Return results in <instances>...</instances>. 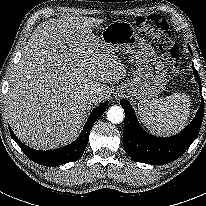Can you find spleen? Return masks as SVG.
I'll list each match as a JSON object with an SVG mask.
<instances>
[{
    "mask_svg": "<svg viewBox=\"0 0 206 206\" xmlns=\"http://www.w3.org/2000/svg\"><path fill=\"white\" fill-rule=\"evenodd\" d=\"M190 98L184 93H174L163 98L143 102L139 116L143 125L157 135H171L187 124Z\"/></svg>",
    "mask_w": 206,
    "mask_h": 206,
    "instance_id": "spleen-1",
    "label": "spleen"
}]
</instances>
